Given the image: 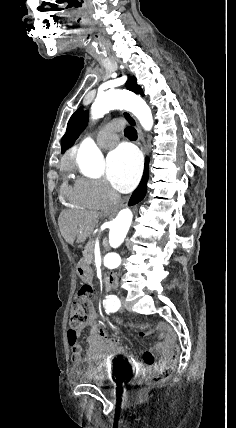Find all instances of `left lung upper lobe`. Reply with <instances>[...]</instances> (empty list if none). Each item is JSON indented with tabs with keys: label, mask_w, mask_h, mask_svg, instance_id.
Here are the masks:
<instances>
[{
	"label": "left lung upper lobe",
	"mask_w": 236,
	"mask_h": 428,
	"mask_svg": "<svg viewBox=\"0 0 236 428\" xmlns=\"http://www.w3.org/2000/svg\"><path fill=\"white\" fill-rule=\"evenodd\" d=\"M126 88L143 96V90L137 84L136 78L130 77L126 83ZM88 121V112L83 111V107H80L69 119L67 130L61 141V152L64 153L70 148L75 140L78 138L80 133L86 126Z\"/></svg>",
	"instance_id": "obj_1"
}]
</instances>
